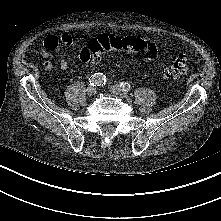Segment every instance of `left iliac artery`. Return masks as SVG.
<instances>
[{"instance_id": "1", "label": "left iliac artery", "mask_w": 221, "mask_h": 221, "mask_svg": "<svg viewBox=\"0 0 221 221\" xmlns=\"http://www.w3.org/2000/svg\"><path fill=\"white\" fill-rule=\"evenodd\" d=\"M123 91L128 92L130 90V84L127 82L121 83Z\"/></svg>"}]
</instances>
